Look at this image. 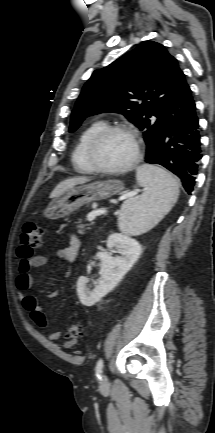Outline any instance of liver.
<instances>
[{
	"mask_svg": "<svg viewBox=\"0 0 215 433\" xmlns=\"http://www.w3.org/2000/svg\"><path fill=\"white\" fill-rule=\"evenodd\" d=\"M90 180H91L90 178H86V177H75V178H70L65 181H62L51 192L50 198L59 197L61 194L73 188L74 186L79 184H84L86 182H89Z\"/></svg>",
	"mask_w": 215,
	"mask_h": 433,
	"instance_id": "6515ba94",
	"label": "liver"
}]
</instances>
